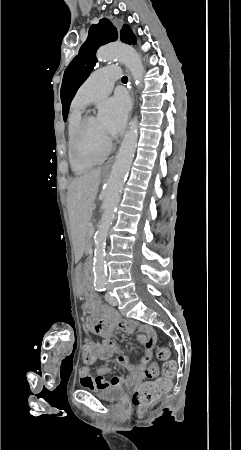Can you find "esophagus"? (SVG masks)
<instances>
[{
    "label": "esophagus",
    "instance_id": "34e87169",
    "mask_svg": "<svg viewBox=\"0 0 241 450\" xmlns=\"http://www.w3.org/2000/svg\"><path fill=\"white\" fill-rule=\"evenodd\" d=\"M114 157H111L109 160H107L106 164L104 165V169H108L112 163H113Z\"/></svg>",
    "mask_w": 241,
    "mask_h": 450
}]
</instances>
